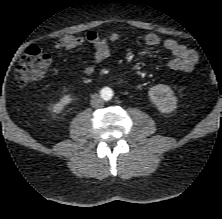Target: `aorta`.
I'll list each match as a JSON object with an SVG mask.
<instances>
[{
    "label": "aorta",
    "instance_id": "obj_1",
    "mask_svg": "<svg viewBox=\"0 0 222 219\" xmlns=\"http://www.w3.org/2000/svg\"><path fill=\"white\" fill-rule=\"evenodd\" d=\"M108 91V99L112 96V91L110 89H107Z\"/></svg>",
    "mask_w": 222,
    "mask_h": 219
}]
</instances>
